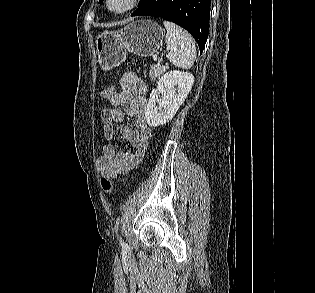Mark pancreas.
<instances>
[{
	"instance_id": "1",
	"label": "pancreas",
	"mask_w": 315,
	"mask_h": 293,
	"mask_svg": "<svg viewBox=\"0 0 315 293\" xmlns=\"http://www.w3.org/2000/svg\"><path fill=\"white\" fill-rule=\"evenodd\" d=\"M167 70L166 66L152 65L151 70L149 71V76L151 81H154L156 78H159Z\"/></svg>"
}]
</instances>
